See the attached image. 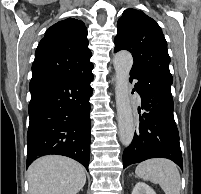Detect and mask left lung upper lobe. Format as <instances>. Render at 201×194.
I'll use <instances>...</instances> for the list:
<instances>
[{
    "instance_id": "5c2ea615",
    "label": "left lung upper lobe",
    "mask_w": 201,
    "mask_h": 194,
    "mask_svg": "<svg viewBox=\"0 0 201 194\" xmlns=\"http://www.w3.org/2000/svg\"><path fill=\"white\" fill-rule=\"evenodd\" d=\"M117 30L114 50L132 53L134 64L130 74L173 83L167 42L155 20L142 11L126 9L117 22Z\"/></svg>"
}]
</instances>
